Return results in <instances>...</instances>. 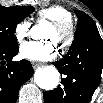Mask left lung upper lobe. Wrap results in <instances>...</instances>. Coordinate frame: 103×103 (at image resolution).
Returning a JSON list of instances; mask_svg holds the SVG:
<instances>
[{"instance_id":"obj_1","label":"left lung upper lobe","mask_w":103,"mask_h":103,"mask_svg":"<svg viewBox=\"0 0 103 103\" xmlns=\"http://www.w3.org/2000/svg\"><path fill=\"white\" fill-rule=\"evenodd\" d=\"M75 13L78 17V25L76 32L74 34L75 39L73 43L78 39H80L81 37H83L89 31L98 30L94 20L89 15H87L82 11H75Z\"/></svg>"}]
</instances>
